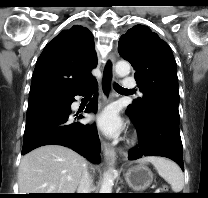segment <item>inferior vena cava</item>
I'll use <instances>...</instances> for the list:
<instances>
[{"label":"inferior vena cava","mask_w":208,"mask_h":198,"mask_svg":"<svg viewBox=\"0 0 208 198\" xmlns=\"http://www.w3.org/2000/svg\"><path fill=\"white\" fill-rule=\"evenodd\" d=\"M92 180L90 178V175L87 171V168L84 169L81 179L79 181L77 193H90V186H91Z\"/></svg>","instance_id":"obj_1"}]
</instances>
